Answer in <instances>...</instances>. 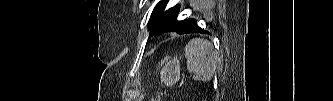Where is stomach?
I'll return each mask as SVG.
<instances>
[{
    "mask_svg": "<svg viewBox=\"0 0 333 101\" xmlns=\"http://www.w3.org/2000/svg\"><path fill=\"white\" fill-rule=\"evenodd\" d=\"M163 68L161 70L162 81L168 85H174L180 78V63L177 59H169L166 57L163 61ZM157 101V100H152Z\"/></svg>",
    "mask_w": 333,
    "mask_h": 101,
    "instance_id": "obj_1",
    "label": "stomach"
}]
</instances>
